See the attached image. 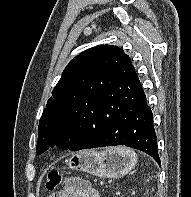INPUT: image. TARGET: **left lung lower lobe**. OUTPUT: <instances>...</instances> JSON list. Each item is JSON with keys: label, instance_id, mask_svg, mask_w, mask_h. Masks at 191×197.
Returning a JSON list of instances; mask_svg holds the SVG:
<instances>
[{"label": "left lung lower lobe", "instance_id": "left-lung-lower-lobe-1", "mask_svg": "<svg viewBox=\"0 0 191 197\" xmlns=\"http://www.w3.org/2000/svg\"><path fill=\"white\" fill-rule=\"evenodd\" d=\"M64 137L70 150L124 145L160 165L153 115L137 75L100 94L89 112L76 115Z\"/></svg>", "mask_w": 191, "mask_h": 197}]
</instances>
